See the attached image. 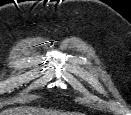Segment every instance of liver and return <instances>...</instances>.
Listing matches in <instances>:
<instances>
[{"label":"liver","instance_id":"1","mask_svg":"<svg viewBox=\"0 0 131 115\" xmlns=\"http://www.w3.org/2000/svg\"><path fill=\"white\" fill-rule=\"evenodd\" d=\"M54 112H48L36 108L17 107L8 109L0 113V115H50Z\"/></svg>","mask_w":131,"mask_h":115}]
</instances>
